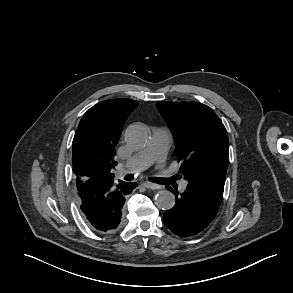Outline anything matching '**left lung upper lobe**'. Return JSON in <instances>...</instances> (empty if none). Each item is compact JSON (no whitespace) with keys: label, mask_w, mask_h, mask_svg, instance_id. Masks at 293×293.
<instances>
[{"label":"left lung upper lobe","mask_w":293,"mask_h":293,"mask_svg":"<svg viewBox=\"0 0 293 293\" xmlns=\"http://www.w3.org/2000/svg\"><path fill=\"white\" fill-rule=\"evenodd\" d=\"M156 106L174 134L179 178L220 203L229 164L223 123L210 107L198 102H158Z\"/></svg>","instance_id":"left-lung-upper-lobe-1"}]
</instances>
